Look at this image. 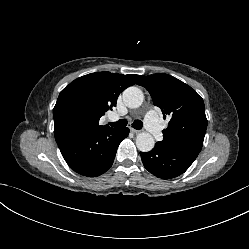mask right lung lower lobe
<instances>
[{"label":"right lung lower lobe","mask_w":249,"mask_h":249,"mask_svg":"<svg viewBox=\"0 0 249 249\" xmlns=\"http://www.w3.org/2000/svg\"><path fill=\"white\" fill-rule=\"evenodd\" d=\"M128 128L106 129L96 133L55 134L61 154L69 167L84 176H99L113 164L120 142Z\"/></svg>","instance_id":"right-lung-lower-lobe-1"}]
</instances>
